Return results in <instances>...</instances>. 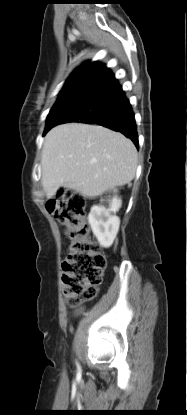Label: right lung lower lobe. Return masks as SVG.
I'll list each match as a JSON object with an SVG mask.
<instances>
[{"label":"right lung lower lobe","instance_id":"1","mask_svg":"<svg viewBox=\"0 0 187 415\" xmlns=\"http://www.w3.org/2000/svg\"><path fill=\"white\" fill-rule=\"evenodd\" d=\"M81 122L98 124L121 132L138 148L134 113L121 85L110 69L103 66L79 80L66 101L49 116L45 134L54 126Z\"/></svg>","mask_w":187,"mask_h":415}]
</instances>
